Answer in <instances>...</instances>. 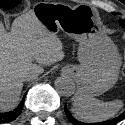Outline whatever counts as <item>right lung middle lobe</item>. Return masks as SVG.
<instances>
[{
  "instance_id": "right-lung-middle-lobe-1",
  "label": "right lung middle lobe",
  "mask_w": 125,
  "mask_h": 125,
  "mask_svg": "<svg viewBox=\"0 0 125 125\" xmlns=\"http://www.w3.org/2000/svg\"><path fill=\"white\" fill-rule=\"evenodd\" d=\"M21 0H0V7L4 9H9L17 6Z\"/></svg>"
}]
</instances>
